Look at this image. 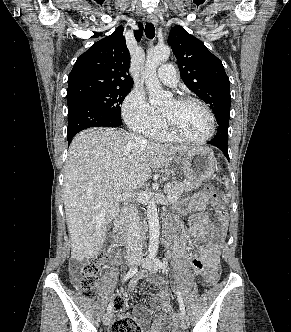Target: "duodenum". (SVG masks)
<instances>
[{"mask_svg":"<svg viewBox=\"0 0 291 332\" xmlns=\"http://www.w3.org/2000/svg\"><path fill=\"white\" fill-rule=\"evenodd\" d=\"M125 213H122L115 225H114V229H113V232H114V236H115V239L118 243L120 244H126L127 243V233H126V230H125V227H124V223H123V217H124Z\"/></svg>","mask_w":291,"mask_h":332,"instance_id":"duodenum-1","label":"duodenum"}]
</instances>
